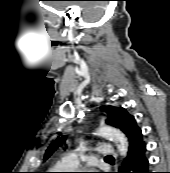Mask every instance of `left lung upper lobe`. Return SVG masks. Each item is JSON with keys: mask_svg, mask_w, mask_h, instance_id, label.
Instances as JSON below:
<instances>
[{"mask_svg": "<svg viewBox=\"0 0 170 173\" xmlns=\"http://www.w3.org/2000/svg\"><path fill=\"white\" fill-rule=\"evenodd\" d=\"M101 110L107 113L106 123L119 128L129 141V149L133 148L139 142L143 141L141 129L137 126L135 118L124 108H114L112 106H101ZM66 137H59L54 141L45 153L47 159L64 141Z\"/></svg>", "mask_w": 170, "mask_h": 173, "instance_id": "obj_1", "label": "left lung upper lobe"}]
</instances>
